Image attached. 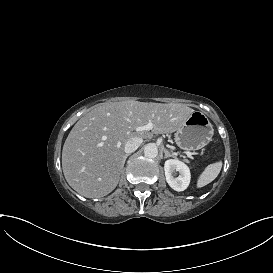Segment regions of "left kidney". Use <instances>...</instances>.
<instances>
[{"label": "left kidney", "mask_w": 273, "mask_h": 273, "mask_svg": "<svg viewBox=\"0 0 273 273\" xmlns=\"http://www.w3.org/2000/svg\"><path fill=\"white\" fill-rule=\"evenodd\" d=\"M180 172V176L175 178L172 172ZM165 175L170 187L176 191L186 190L191 183V171L188 165L178 159H168L165 161Z\"/></svg>", "instance_id": "obj_1"}]
</instances>
